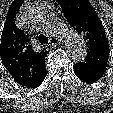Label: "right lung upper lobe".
I'll return each mask as SVG.
<instances>
[{
	"mask_svg": "<svg viewBox=\"0 0 113 113\" xmlns=\"http://www.w3.org/2000/svg\"><path fill=\"white\" fill-rule=\"evenodd\" d=\"M23 1L14 0L9 7L1 37L0 56L17 83L35 88L46 76L47 52L34 51L28 36L15 24L16 13Z\"/></svg>",
	"mask_w": 113,
	"mask_h": 113,
	"instance_id": "cb5924a9",
	"label": "right lung upper lobe"
}]
</instances>
